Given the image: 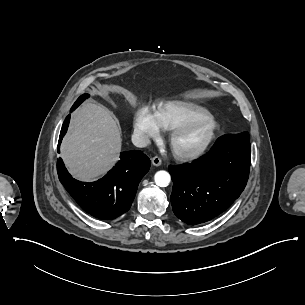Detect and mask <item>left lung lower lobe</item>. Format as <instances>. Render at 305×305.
<instances>
[{"label":"left lung lower lobe","mask_w":305,"mask_h":305,"mask_svg":"<svg viewBox=\"0 0 305 305\" xmlns=\"http://www.w3.org/2000/svg\"><path fill=\"white\" fill-rule=\"evenodd\" d=\"M250 161L249 133L242 132L221 137L190 164L169 166L175 215L188 225H198L221 214L243 192Z\"/></svg>","instance_id":"obj_1"}]
</instances>
